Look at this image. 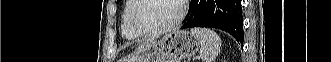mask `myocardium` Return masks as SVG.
<instances>
[{"label":"myocardium","mask_w":331,"mask_h":62,"mask_svg":"<svg viewBox=\"0 0 331 62\" xmlns=\"http://www.w3.org/2000/svg\"><path fill=\"white\" fill-rule=\"evenodd\" d=\"M143 1H145V0H134V5H133V7L131 9V12H130L131 27L133 28V30L137 34H139L141 36L149 37V36H156V35H160V34L169 32V31L177 28L180 25V23L182 22L183 18H184V15H185V1L175 0L178 4V15L172 23H170V24H168L164 27L157 28V29H145L142 26H140V24L138 23L137 18H136L137 11L141 7Z\"/></svg>","instance_id":"obj_1"}]
</instances>
